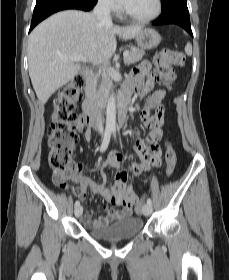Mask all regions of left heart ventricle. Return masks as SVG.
Here are the masks:
<instances>
[{
    "label": "left heart ventricle",
    "mask_w": 229,
    "mask_h": 280,
    "mask_svg": "<svg viewBox=\"0 0 229 280\" xmlns=\"http://www.w3.org/2000/svg\"><path fill=\"white\" fill-rule=\"evenodd\" d=\"M126 10L136 16H145L153 12L155 0H129Z\"/></svg>",
    "instance_id": "b2bd125f"
}]
</instances>
